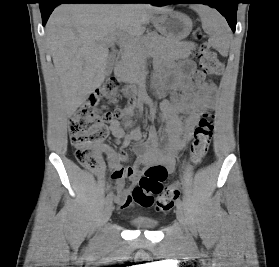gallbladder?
I'll return each mask as SVG.
<instances>
[{
    "label": "gallbladder",
    "instance_id": "1",
    "mask_svg": "<svg viewBox=\"0 0 279 267\" xmlns=\"http://www.w3.org/2000/svg\"><path fill=\"white\" fill-rule=\"evenodd\" d=\"M113 66H114V59H113V57L110 56L107 59L106 66H105V73L107 76L111 74V72L113 70Z\"/></svg>",
    "mask_w": 279,
    "mask_h": 267
}]
</instances>
